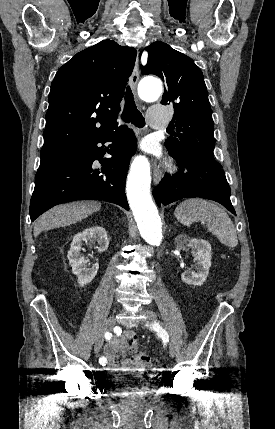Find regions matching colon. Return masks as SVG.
Listing matches in <instances>:
<instances>
[{
	"mask_svg": "<svg viewBox=\"0 0 275 429\" xmlns=\"http://www.w3.org/2000/svg\"><path fill=\"white\" fill-rule=\"evenodd\" d=\"M128 345V351L134 352V360L136 362L144 365L152 371H156L158 369V360L155 357L137 350V340L130 341Z\"/></svg>",
	"mask_w": 275,
	"mask_h": 429,
	"instance_id": "5ec220e1",
	"label": "colon"
}]
</instances>
